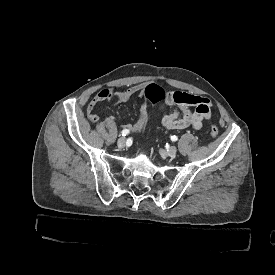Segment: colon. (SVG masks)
Returning <instances> with one entry per match:
<instances>
[{
  "mask_svg": "<svg viewBox=\"0 0 275 275\" xmlns=\"http://www.w3.org/2000/svg\"><path fill=\"white\" fill-rule=\"evenodd\" d=\"M145 98L146 101L142 103V110L140 112H143L142 116V124L139 125V127H133L132 130L133 132L137 133H143L144 132V127L147 123V119H149V113L150 109L154 107L155 104V98L158 100H163L165 98V93L163 92V87L161 84L156 83L154 85H148L145 88ZM140 112L138 115V118L140 116ZM88 116L91 122H95L97 120L96 116L92 113V109H88ZM218 127L216 125H212L210 128V134L212 137H216L218 135Z\"/></svg>",
  "mask_w": 275,
  "mask_h": 275,
  "instance_id": "5ec220e1",
  "label": "colon"
}]
</instances>
